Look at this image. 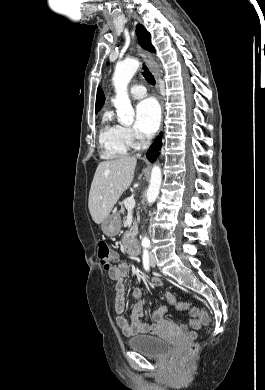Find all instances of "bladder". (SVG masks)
Masks as SVG:
<instances>
[{"label":"bladder","mask_w":265,"mask_h":390,"mask_svg":"<svg viewBox=\"0 0 265 390\" xmlns=\"http://www.w3.org/2000/svg\"><path fill=\"white\" fill-rule=\"evenodd\" d=\"M128 346L146 357L160 359L169 354L172 345L158 336L137 335L127 341Z\"/></svg>","instance_id":"bladder-1"}]
</instances>
